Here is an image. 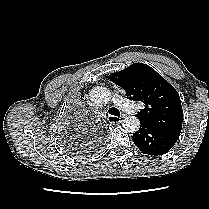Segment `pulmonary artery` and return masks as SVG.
<instances>
[{"instance_id": "e3ab8cb5", "label": "pulmonary artery", "mask_w": 209, "mask_h": 209, "mask_svg": "<svg viewBox=\"0 0 209 209\" xmlns=\"http://www.w3.org/2000/svg\"><path fill=\"white\" fill-rule=\"evenodd\" d=\"M114 103L127 113H133L135 111V107L130 101L117 94L114 95Z\"/></svg>"}]
</instances>
